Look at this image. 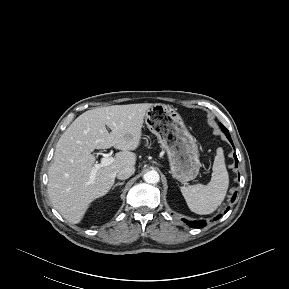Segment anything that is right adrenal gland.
<instances>
[{
  "mask_svg": "<svg viewBox=\"0 0 289 289\" xmlns=\"http://www.w3.org/2000/svg\"><path fill=\"white\" fill-rule=\"evenodd\" d=\"M124 183H125L124 181L123 182H118L115 185H113L112 189H114L117 186H122Z\"/></svg>",
  "mask_w": 289,
  "mask_h": 289,
  "instance_id": "1",
  "label": "right adrenal gland"
}]
</instances>
